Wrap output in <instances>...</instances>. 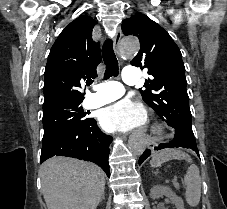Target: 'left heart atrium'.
I'll return each instance as SVG.
<instances>
[{
	"instance_id": "left-heart-atrium-1",
	"label": "left heart atrium",
	"mask_w": 227,
	"mask_h": 209,
	"mask_svg": "<svg viewBox=\"0 0 227 209\" xmlns=\"http://www.w3.org/2000/svg\"><path fill=\"white\" fill-rule=\"evenodd\" d=\"M100 126L109 132H129L146 123L147 112L138 101L125 98L105 107L98 117Z\"/></svg>"
}]
</instances>
